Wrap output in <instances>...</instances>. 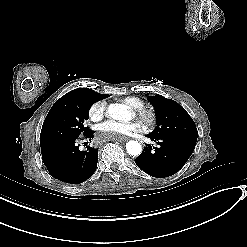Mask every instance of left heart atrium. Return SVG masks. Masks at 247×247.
Returning a JSON list of instances; mask_svg holds the SVG:
<instances>
[{
  "label": "left heart atrium",
  "instance_id": "obj_1",
  "mask_svg": "<svg viewBox=\"0 0 247 247\" xmlns=\"http://www.w3.org/2000/svg\"><path fill=\"white\" fill-rule=\"evenodd\" d=\"M137 130L138 125L136 123L107 121L97 128L94 141L96 144H102L108 141L118 140V135H130Z\"/></svg>",
  "mask_w": 247,
  "mask_h": 247
}]
</instances>
